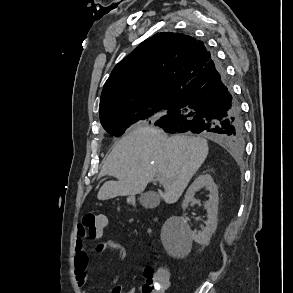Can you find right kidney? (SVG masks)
Returning a JSON list of instances; mask_svg holds the SVG:
<instances>
[{
    "label": "right kidney",
    "instance_id": "obj_1",
    "mask_svg": "<svg viewBox=\"0 0 293 293\" xmlns=\"http://www.w3.org/2000/svg\"><path fill=\"white\" fill-rule=\"evenodd\" d=\"M202 187H206L210 194H209V200L204 203V208L207 210L208 213V219L206 221V227L202 229V231H199L198 233L193 232L189 225L187 224V221L184 217H180L177 225V229L179 232L178 241L176 243L172 241H165L164 240V246L167 250L173 249V244L177 247L180 245H183L184 247H190V243L194 240L198 244L204 245L209 243L210 238L212 234L216 231L217 228V214H218V189L216 184L214 183L213 178L209 174L200 175L197 177L194 182L190 185L188 188L185 199L182 204L183 210H185L189 204L194 198L195 193L201 189Z\"/></svg>",
    "mask_w": 293,
    "mask_h": 293
}]
</instances>
